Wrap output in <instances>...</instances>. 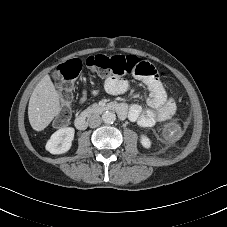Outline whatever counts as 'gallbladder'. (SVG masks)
Listing matches in <instances>:
<instances>
[{"mask_svg":"<svg viewBox=\"0 0 227 227\" xmlns=\"http://www.w3.org/2000/svg\"><path fill=\"white\" fill-rule=\"evenodd\" d=\"M53 78H54V79H60V78H61L60 72L55 71V72L53 73Z\"/></svg>","mask_w":227,"mask_h":227,"instance_id":"1","label":"gallbladder"}]
</instances>
